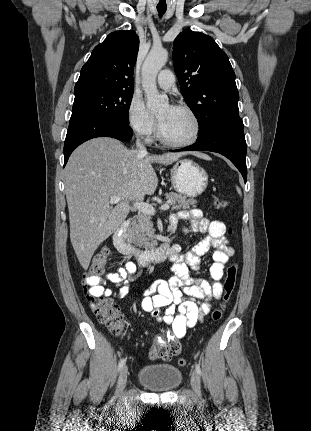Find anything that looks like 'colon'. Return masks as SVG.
<instances>
[{
  "instance_id": "obj_1",
  "label": "colon",
  "mask_w": 311,
  "mask_h": 431,
  "mask_svg": "<svg viewBox=\"0 0 311 431\" xmlns=\"http://www.w3.org/2000/svg\"><path fill=\"white\" fill-rule=\"evenodd\" d=\"M213 204L217 208H226L227 201L221 198H215ZM109 256V249L103 248L99 253H97L93 261L83 276L84 290L87 297L93 304L94 313L97 315L100 322L106 324L110 331L114 335H121L125 331V321L119 311V308L113 301L109 298L103 296H97L93 293L92 289L96 286V281L104 272ZM238 266L232 264L227 268L226 277L223 283L224 293L222 297L221 304L213 310L212 319L219 320L224 312L226 303L229 301L236 285ZM180 343L173 339H159L153 344L150 349L149 357L150 359H162L169 360L173 356L180 352ZM180 366H185L187 360L185 358H180L178 360Z\"/></svg>"
}]
</instances>
